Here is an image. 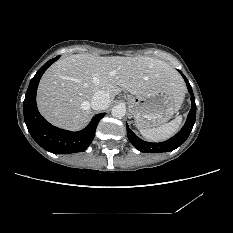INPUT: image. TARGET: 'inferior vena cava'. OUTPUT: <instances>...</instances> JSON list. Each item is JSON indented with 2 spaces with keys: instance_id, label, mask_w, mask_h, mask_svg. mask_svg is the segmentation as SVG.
<instances>
[{
  "instance_id": "obj_1",
  "label": "inferior vena cava",
  "mask_w": 233,
  "mask_h": 233,
  "mask_svg": "<svg viewBox=\"0 0 233 233\" xmlns=\"http://www.w3.org/2000/svg\"><path fill=\"white\" fill-rule=\"evenodd\" d=\"M110 103L109 96L104 91H97L91 99V107L94 110H104Z\"/></svg>"
}]
</instances>
